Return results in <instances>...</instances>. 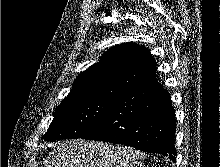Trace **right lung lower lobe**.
I'll use <instances>...</instances> for the list:
<instances>
[{
    "label": "right lung lower lobe",
    "mask_w": 220,
    "mask_h": 167,
    "mask_svg": "<svg viewBox=\"0 0 220 167\" xmlns=\"http://www.w3.org/2000/svg\"><path fill=\"white\" fill-rule=\"evenodd\" d=\"M175 131L170 96L154 82L114 98L104 117L81 138L131 146L175 162Z\"/></svg>",
    "instance_id": "1"
}]
</instances>
